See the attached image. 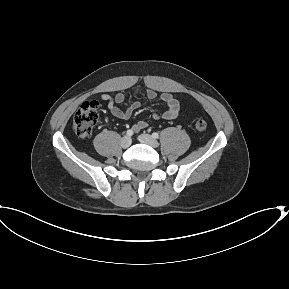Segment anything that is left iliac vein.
Returning a JSON list of instances; mask_svg holds the SVG:
<instances>
[{
    "mask_svg": "<svg viewBox=\"0 0 289 289\" xmlns=\"http://www.w3.org/2000/svg\"><path fill=\"white\" fill-rule=\"evenodd\" d=\"M138 140L142 143L148 144L154 148H157L159 146L158 141L153 138L151 135L149 134H141L138 136Z\"/></svg>",
    "mask_w": 289,
    "mask_h": 289,
    "instance_id": "1",
    "label": "left iliac vein"
}]
</instances>
